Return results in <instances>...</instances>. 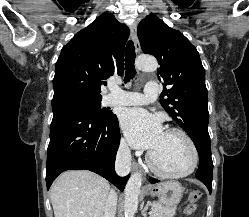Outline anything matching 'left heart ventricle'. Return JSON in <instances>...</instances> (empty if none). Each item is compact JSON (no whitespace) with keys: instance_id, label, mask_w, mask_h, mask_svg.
Wrapping results in <instances>:
<instances>
[{"instance_id":"1","label":"left heart ventricle","mask_w":249,"mask_h":217,"mask_svg":"<svg viewBox=\"0 0 249 217\" xmlns=\"http://www.w3.org/2000/svg\"><path fill=\"white\" fill-rule=\"evenodd\" d=\"M151 153L156 165L168 172L185 171L191 164V150L185 139L177 133L164 132L158 146Z\"/></svg>"}]
</instances>
